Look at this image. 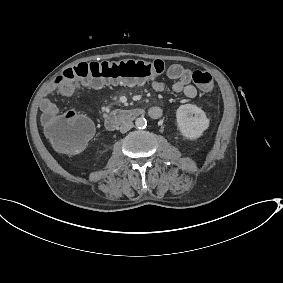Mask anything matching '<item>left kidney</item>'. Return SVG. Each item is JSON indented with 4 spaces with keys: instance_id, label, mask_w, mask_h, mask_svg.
Wrapping results in <instances>:
<instances>
[{
    "instance_id": "obj_1",
    "label": "left kidney",
    "mask_w": 283,
    "mask_h": 283,
    "mask_svg": "<svg viewBox=\"0 0 283 283\" xmlns=\"http://www.w3.org/2000/svg\"><path fill=\"white\" fill-rule=\"evenodd\" d=\"M176 122L179 134L189 141L201 138L210 125L205 112L192 104L181 105L177 109Z\"/></svg>"
}]
</instances>
